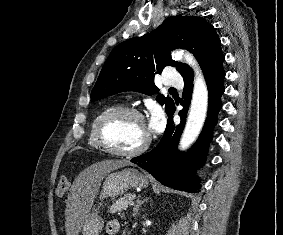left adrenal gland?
<instances>
[{"mask_svg":"<svg viewBox=\"0 0 283 235\" xmlns=\"http://www.w3.org/2000/svg\"><path fill=\"white\" fill-rule=\"evenodd\" d=\"M146 200H148V198H145V199L141 200V195H139V196L137 197L136 204H135V206L133 207V216H134V217L136 216V214H137L138 211L140 210V207L142 206V204H143Z\"/></svg>","mask_w":283,"mask_h":235,"instance_id":"obj_1","label":"left adrenal gland"}]
</instances>
